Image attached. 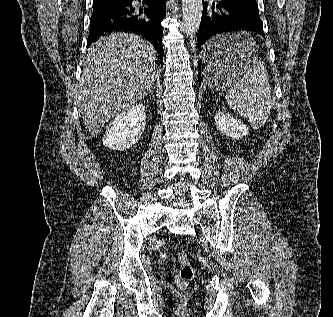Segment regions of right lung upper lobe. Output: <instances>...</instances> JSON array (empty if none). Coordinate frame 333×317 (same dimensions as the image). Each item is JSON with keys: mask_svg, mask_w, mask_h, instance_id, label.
Here are the masks:
<instances>
[{"mask_svg": "<svg viewBox=\"0 0 333 317\" xmlns=\"http://www.w3.org/2000/svg\"><path fill=\"white\" fill-rule=\"evenodd\" d=\"M101 1V0H100ZM104 1H113V2H118V1H123V0H104Z\"/></svg>", "mask_w": 333, "mask_h": 317, "instance_id": "1", "label": "right lung upper lobe"}]
</instances>
